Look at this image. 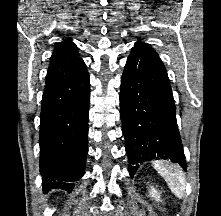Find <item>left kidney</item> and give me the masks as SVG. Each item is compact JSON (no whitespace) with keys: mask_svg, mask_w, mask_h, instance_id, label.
Masks as SVG:
<instances>
[{"mask_svg":"<svg viewBox=\"0 0 221 216\" xmlns=\"http://www.w3.org/2000/svg\"><path fill=\"white\" fill-rule=\"evenodd\" d=\"M150 196L153 197L156 201H160V196L158 194V191L154 187H150Z\"/></svg>","mask_w":221,"mask_h":216,"instance_id":"left-kidney-1","label":"left kidney"}]
</instances>
